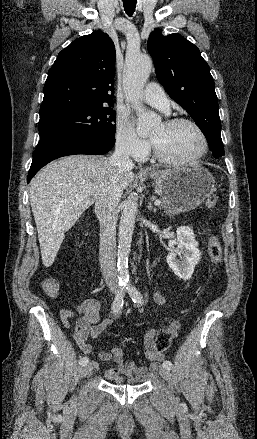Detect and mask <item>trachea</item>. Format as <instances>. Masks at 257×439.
Segmentation results:
<instances>
[{
	"label": "trachea",
	"mask_w": 257,
	"mask_h": 439,
	"mask_svg": "<svg viewBox=\"0 0 257 439\" xmlns=\"http://www.w3.org/2000/svg\"><path fill=\"white\" fill-rule=\"evenodd\" d=\"M136 3L137 0H123L124 10L127 13V15L129 16L133 15L135 11Z\"/></svg>",
	"instance_id": "obj_1"
}]
</instances>
